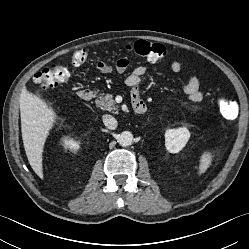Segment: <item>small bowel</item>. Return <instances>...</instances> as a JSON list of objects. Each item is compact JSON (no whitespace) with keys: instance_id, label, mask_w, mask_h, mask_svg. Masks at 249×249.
I'll return each mask as SVG.
<instances>
[{"instance_id":"obj_1","label":"small bowel","mask_w":249,"mask_h":249,"mask_svg":"<svg viewBox=\"0 0 249 249\" xmlns=\"http://www.w3.org/2000/svg\"><path fill=\"white\" fill-rule=\"evenodd\" d=\"M129 66V61L125 58H121L116 63V69L119 73H123ZM171 71L174 74H179L182 66L178 61L171 63ZM112 70L106 62H99L96 66V72L100 74L108 73ZM145 73V68L142 66L136 67L127 77L126 83L131 87L132 98H139V84ZM184 94L191 102H199L203 99L204 93L200 88L199 79L196 76H191L188 83L183 88Z\"/></svg>"}]
</instances>
